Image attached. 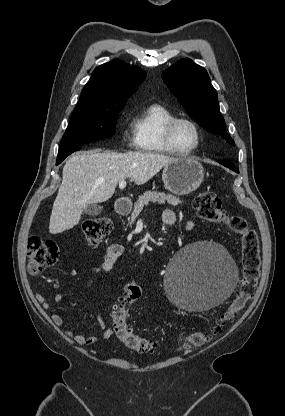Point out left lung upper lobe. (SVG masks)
<instances>
[{
    "instance_id": "obj_1",
    "label": "left lung upper lobe",
    "mask_w": 285,
    "mask_h": 416,
    "mask_svg": "<svg viewBox=\"0 0 285 416\" xmlns=\"http://www.w3.org/2000/svg\"><path fill=\"white\" fill-rule=\"evenodd\" d=\"M162 79L198 124L235 146L234 140L225 131L216 90L203 67L188 58L182 59L164 71Z\"/></svg>"
}]
</instances>
